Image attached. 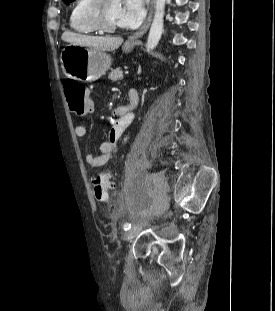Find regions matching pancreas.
<instances>
[{"label": "pancreas", "instance_id": "cf45deb5", "mask_svg": "<svg viewBox=\"0 0 275 311\" xmlns=\"http://www.w3.org/2000/svg\"><path fill=\"white\" fill-rule=\"evenodd\" d=\"M123 78V72L121 68H117L115 70H112L109 73L108 79L112 80V81H118L121 80Z\"/></svg>", "mask_w": 275, "mask_h": 311}]
</instances>
